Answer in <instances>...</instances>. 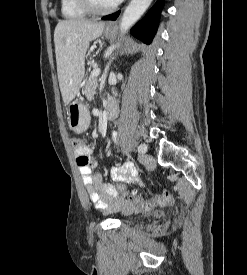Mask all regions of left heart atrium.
Returning <instances> with one entry per match:
<instances>
[{
  "mask_svg": "<svg viewBox=\"0 0 247 275\" xmlns=\"http://www.w3.org/2000/svg\"><path fill=\"white\" fill-rule=\"evenodd\" d=\"M121 0H115V2L117 3V2H120Z\"/></svg>",
  "mask_w": 247,
  "mask_h": 275,
  "instance_id": "1",
  "label": "left heart atrium"
}]
</instances>
